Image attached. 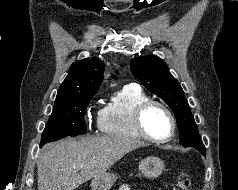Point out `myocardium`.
<instances>
[{
	"mask_svg": "<svg viewBox=\"0 0 238 190\" xmlns=\"http://www.w3.org/2000/svg\"><path fill=\"white\" fill-rule=\"evenodd\" d=\"M154 106L161 108L168 115V117L170 119L171 129H170L169 134L165 137H161V138L155 137V136L151 135L145 127V124H144L145 114L147 113V111L150 108H152ZM134 125H135L138 133L144 139H146L150 142L164 143V142L169 141L174 136L177 123H176V119H175L173 112L170 110V108L166 104H164L163 102L158 101V100L148 99V100L142 102L136 108V110L134 112Z\"/></svg>",
	"mask_w": 238,
	"mask_h": 190,
	"instance_id": "1",
	"label": "myocardium"
}]
</instances>
